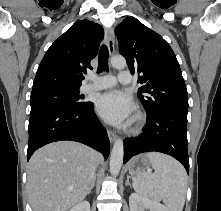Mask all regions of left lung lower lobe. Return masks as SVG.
<instances>
[{
    "label": "left lung lower lobe",
    "mask_w": 221,
    "mask_h": 211,
    "mask_svg": "<svg viewBox=\"0 0 221 211\" xmlns=\"http://www.w3.org/2000/svg\"><path fill=\"white\" fill-rule=\"evenodd\" d=\"M187 109L169 108L148 114L144 132L124 140V163L143 152H161L176 158L189 173Z\"/></svg>",
    "instance_id": "left-lung-lower-lobe-1"
}]
</instances>
